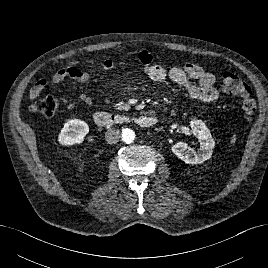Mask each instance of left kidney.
<instances>
[{"mask_svg": "<svg viewBox=\"0 0 268 268\" xmlns=\"http://www.w3.org/2000/svg\"><path fill=\"white\" fill-rule=\"evenodd\" d=\"M190 126L191 133L202 141L199 151L196 152L184 142H177L172 146V152L187 164H200L211 158L215 141L202 120H192Z\"/></svg>", "mask_w": 268, "mask_h": 268, "instance_id": "1", "label": "left kidney"}]
</instances>
